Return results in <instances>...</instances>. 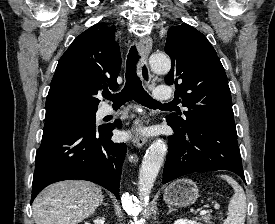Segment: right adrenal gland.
Segmentation results:
<instances>
[{"label":"right adrenal gland","mask_w":275,"mask_h":224,"mask_svg":"<svg viewBox=\"0 0 275 224\" xmlns=\"http://www.w3.org/2000/svg\"><path fill=\"white\" fill-rule=\"evenodd\" d=\"M101 204L104 205V206H108L109 205L108 203H105V202H102Z\"/></svg>","instance_id":"right-adrenal-gland-1"}]
</instances>
